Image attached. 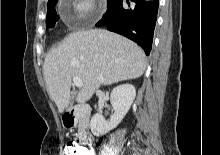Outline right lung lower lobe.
<instances>
[{
	"instance_id": "right-lung-lower-lobe-1",
	"label": "right lung lower lobe",
	"mask_w": 220,
	"mask_h": 155,
	"mask_svg": "<svg viewBox=\"0 0 220 155\" xmlns=\"http://www.w3.org/2000/svg\"><path fill=\"white\" fill-rule=\"evenodd\" d=\"M134 4L123 7L122 0H112L104 17L96 26L106 25L140 45L146 55L152 48L153 32L157 20L158 0H132ZM129 4V1H127Z\"/></svg>"
}]
</instances>
